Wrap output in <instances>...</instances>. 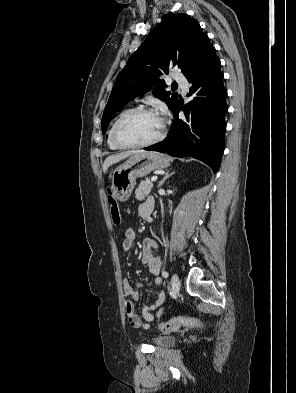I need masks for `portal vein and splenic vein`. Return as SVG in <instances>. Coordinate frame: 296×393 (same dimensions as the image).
Returning a JSON list of instances; mask_svg holds the SVG:
<instances>
[{"label": "portal vein and splenic vein", "instance_id": "portal-vein-and-splenic-vein-1", "mask_svg": "<svg viewBox=\"0 0 296 393\" xmlns=\"http://www.w3.org/2000/svg\"><path fill=\"white\" fill-rule=\"evenodd\" d=\"M157 179H158V177L154 176V177H152L151 182H155V181H157Z\"/></svg>", "mask_w": 296, "mask_h": 393}]
</instances>
